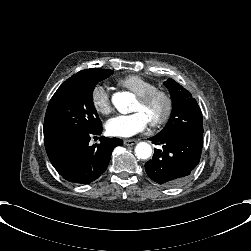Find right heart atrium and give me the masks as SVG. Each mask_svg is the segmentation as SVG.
<instances>
[{
  "mask_svg": "<svg viewBox=\"0 0 251 251\" xmlns=\"http://www.w3.org/2000/svg\"><path fill=\"white\" fill-rule=\"evenodd\" d=\"M90 101L98 113L108 114L111 111L110 95L107 87L103 84L93 86L90 93Z\"/></svg>",
  "mask_w": 251,
  "mask_h": 251,
  "instance_id": "obj_1",
  "label": "right heart atrium"
}]
</instances>
